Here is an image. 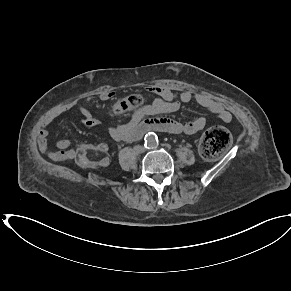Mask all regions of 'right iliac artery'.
I'll return each mask as SVG.
<instances>
[{
	"mask_svg": "<svg viewBox=\"0 0 291 291\" xmlns=\"http://www.w3.org/2000/svg\"><path fill=\"white\" fill-rule=\"evenodd\" d=\"M145 147L148 148L149 146L147 145V143L145 144Z\"/></svg>",
	"mask_w": 291,
	"mask_h": 291,
	"instance_id": "obj_1",
	"label": "right iliac artery"
}]
</instances>
